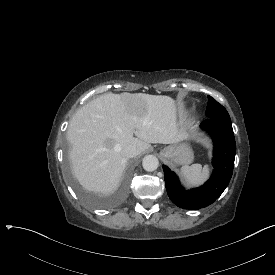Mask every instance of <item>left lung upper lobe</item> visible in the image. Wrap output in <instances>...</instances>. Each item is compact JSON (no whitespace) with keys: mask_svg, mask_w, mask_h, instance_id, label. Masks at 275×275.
Segmentation results:
<instances>
[{"mask_svg":"<svg viewBox=\"0 0 275 275\" xmlns=\"http://www.w3.org/2000/svg\"><path fill=\"white\" fill-rule=\"evenodd\" d=\"M208 100L209 101L206 109L207 118H217L228 122L231 121L228 112L221 104H219L216 100H214L210 96H208Z\"/></svg>","mask_w":275,"mask_h":275,"instance_id":"obj_1","label":"left lung upper lobe"}]
</instances>
